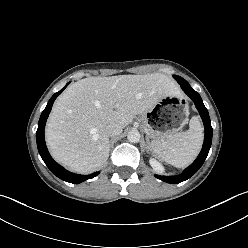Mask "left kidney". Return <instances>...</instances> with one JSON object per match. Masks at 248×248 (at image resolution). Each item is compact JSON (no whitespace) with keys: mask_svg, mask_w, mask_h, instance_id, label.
Masks as SVG:
<instances>
[{"mask_svg":"<svg viewBox=\"0 0 248 248\" xmlns=\"http://www.w3.org/2000/svg\"><path fill=\"white\" fill-rule=\"evenodd\" d=\"M149 163L151 165V167L156 171V172H159V173H162L164 172V167L162 166V164L157 161L155 158H150L149 160Z\"/></svg>","mask_w":248,"mask_h":248,"instance_id":"5707ae66","label":"left kidney"}]
</instances>
